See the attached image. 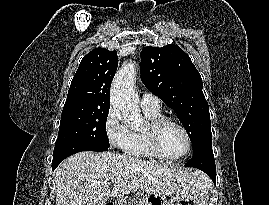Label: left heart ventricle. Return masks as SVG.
Returning a JSON list of instances; mask_svg holds the SVG:
<instances>
[{"instance_id":"1","label":"left heart ventricle","mask_w":269,"mask_h":205,"mask_svg":"<svg viewBox=\"0 0 269 205\" xmlns=\"http://www.w3.org/2000/svg\"><path fill=\"white\" fill-rule=\"evenodd\" d=\"M162 151L171 157L182 155L187 149V140L183 131L175 125L169 124L160 134Z\"/></svg>"}]
</instances>
